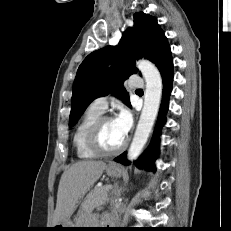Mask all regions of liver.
<instances>
[{
	"mask_svg": "<svg viewBox=\"0 0 231 231\" xmlns=\"http://www.w3.org/2000/svg\"><path fill=\"white\" fill-rule=\"evenodd\" d=\"M105 168L103 161L84 160L64 171L58 187L53 227L70 219L79 200L101 177Z\"/></svg>",
	"mask_w": 231,
	"mask_h": 231,
	"instance_id": "1",
	"label": "liver"
}]
</instances>
